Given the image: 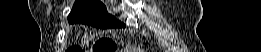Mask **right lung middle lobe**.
Masks as SVG:
<instances>
[{"mask_svg": "<svg viewBox=\"0 0 261 52\" xmlns=\"http://www.w3.org/2000/svg\"><path fill=\"white\" fill-rule=\"evenodd\" d=\"M69 23H83L97 28H122L125 24L109 15L98 0H77L68 16Z\"/></svg>", "mask_w": 261, "mask_h": 52, "instance_id": "1", "label": "right lung middle lobe"}]
</instances>
